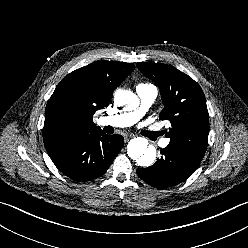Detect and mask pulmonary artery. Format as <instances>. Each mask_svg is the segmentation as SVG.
Masks as SVG:
<instances>
[{"mask_svg": "<svg viewBox=\"0 0 248 248\" xmlns=\"http://www.w3.org/2000/svg\"><path fill=\"white\" fill-rule=\"evenodd\" d=\"M136 90L141 101V107L138 110L114 116L101 117L98 120V124L101 126L128 127L140 120L146 110L154 103L158 95V90L153 85L139 86ZM168 143L169 140L164 139L161 142V146L166 147Z\"/></svg>", "mask_w": 248, "mask_h": 248, "instance_id": "e3ab8cb5", "label": "pulmonary artery"}]
</instances>
